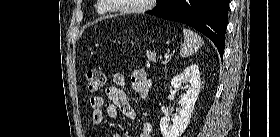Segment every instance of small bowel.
<instances>
[{"label":"small bowel","mask_w":280,"mask_h":137,"mask_svg":"<svg viewBox=\"0 0 280 137\" xmlns=\"http://www.w3.org/2000/svg\"><path fill=\"white\" fill-rule=\"evenodd\" d=\"M126 84V76L121 72H117L113 75L112 84L105 90V97L99 95L90 97L89 108L92 124L98 125L102 123L104 119L102 107L106 101L109 102L107 106L109 118L116 119L120 113L131 119L136 117V113L127 98ZM130 84L135 93L141 97H146L151 89L152 81L143 70L136 69L130 76ZM152 131L153 127L150 122L144 121L141 123L140 137H152ZM113 137L119 136L115 134Z\"/></svg>","instance_id":"obj_1"}]
</instances>
